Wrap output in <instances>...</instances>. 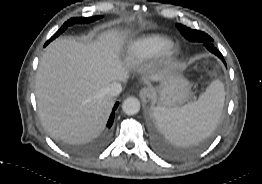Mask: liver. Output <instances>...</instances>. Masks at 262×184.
Wrapping results in <instances>:
<instances>
[{"label": "liver", "mask_w": 262, "mask_h": 184, "mask_svg": "<svg viewBox=\"0 0 262 184\" xmlns=\"http://www.w3.org/2000/svg\"><path fill=\"white\" fill-rule=\"evenodd\" d=\"M125 35L110 30L88 44L57 39L45 50L36 74L35 94L41 122L52 138L87 142L104 129L114 100L106 87L125 81L119 59ZM163 81V74L149 77Z\"/></svg>", "instance_id": "liver-1"}]
</instances>
